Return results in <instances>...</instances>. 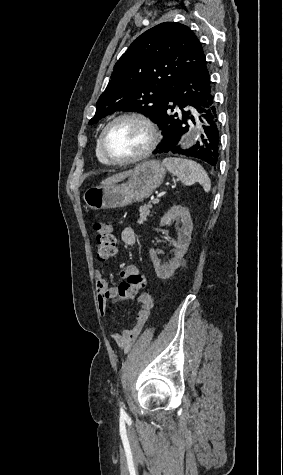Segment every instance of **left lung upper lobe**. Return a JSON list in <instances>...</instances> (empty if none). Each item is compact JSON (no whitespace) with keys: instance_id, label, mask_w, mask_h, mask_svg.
<instances>
[{"instance_id":"1","label":"left lung upper lobe","mask_w":283,"mask_h":475,"mask_svg":"<svg viewBox=\"0 0 283 475\" xmlns=\"http://www.w3.org/2000/svg\"><path fill=\"white\" fill-rule=\"evenodd\" d=\"M205 62L201 43L186 25L164 22L147 30L115 64L89 124L115 111L157 120L174 84Z\"/></svg>"}]
</instances>
